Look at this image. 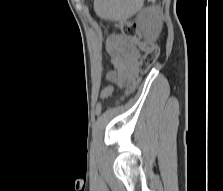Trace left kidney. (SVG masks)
<instances>
[{
  "mask_svg": "<svg viewBox=\"0 0 223 191\" xmlns=\"http://www.w3.org/2000/svg\"><path fill=\"white\" fill-rule=\"evenodd\" d=\"M138 22L146 38L156 40L162 29V18L157 8H147L142 11Z\"/></svg>",
  "mask_w": 223,
  "mask_h": 191,
  "instance_id": "left-kidney-1",
  "label": "left kidney"
}]
</instances>
